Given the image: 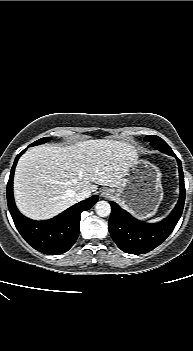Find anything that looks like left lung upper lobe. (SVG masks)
<instances>
[{
	"label": "left lung upper lobe",
	"instance_id": "1",
	"mask_svg": "<svg viewBox=\"0 0 193 351\" xmlns=\"http://www.w3.org/2000/svg\"><path fill=\"white\" fill-rule=\"evenodd\" d=\"M145 140L151 142V145L161 152H164V153L169 154V155L173 153L170 146L163 139H161L158 136L148 135L145 137Z\"/></svg>",
	"mask_w": 193,
	"mask_h": 351
}]
</instances>
